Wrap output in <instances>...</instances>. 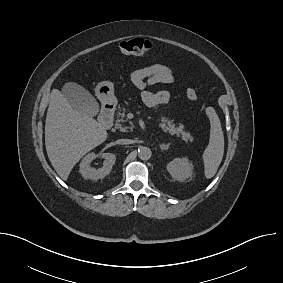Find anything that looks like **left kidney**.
Instances as JSON below:
<instances>
[{
  "label": "left kidney",
  "mask_w": 283,
  "mask_h": 283,
  "mask_svg": "<svg viewBox=\"0 0 283 283\" xmlns=\"http://www.w3.org/2000/svg\"><path fill=\"white\" fill-rule=\"evenodd\" d=\"M167 170L176 180H186L193 175V165L187 157L175 158L167 164Z\"/></svg>",
  "instance_id": "5707ae66"
}]
</instances>
